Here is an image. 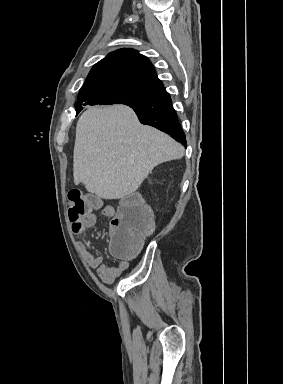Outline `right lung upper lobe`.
Listing matches in <instances>:
<instances>
[{"instance_id":"1","label":"right lung upper lobe","mask_w":283,"mask_h":384,"mask_svg":"<svg viewBox=\"0 0 283 384\" xmlns=\"http://www.w3.org/2000/svg\"><path fill=\"white\" fill-rule=\"evenodd\" d=\"M101 84H120L154 92L163 87L152 63L133 49L114 51L96 63L82 88Z\"/></svg>"}]
</instances>
